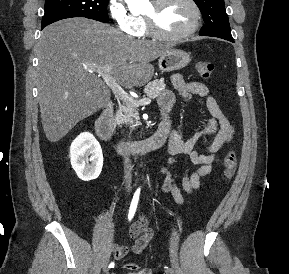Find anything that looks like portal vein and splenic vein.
<instances>
[{"mask_svg":"<svg viewBox=\"0 0 289 274\" xmlns=\"http://www.w3.org/2000/svg\"><path fill=\"white\" fill-rule=\"evenodd\" d=\"M93 70L96 71L99 76H102L105 83L111 88V90L121 99L128 100L135 103L136 105H148L151 103L150 98H143L139 101L134 100L116 81V79L111 75L112 68L109 66H95Z\"/></svg>","mask_w":289,"mask_h":274,"instance_id":"portal-vein-and-splenic-vein-1","label":"portal vein and splenic vein"}]
</instances>
